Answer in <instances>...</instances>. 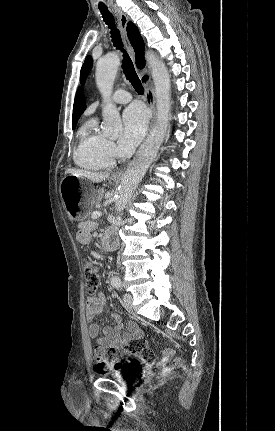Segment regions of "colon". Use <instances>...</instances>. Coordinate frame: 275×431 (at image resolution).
I'll return each mask as SVG.
<instances>
[{"label": "colon", "instance_id": "1", "mask_svg": "<svg viewBox=\"0 0 275 431\" xmlns=\"http://www.w3.org/2000/svg\"><path fill=\"white\" fill-rule=\"evenodd\" d=\"M83 270L86 280V289L90 294H94L99 286L100 269L99 266L91 261L83 263ZM130 354H134L142 361L149 363L153 368L165 365L172 362L173 366H181L182 359L180 357L174 358V351L170 348H165L161 351L158 359L154 361V354L148 347L145 341L133 340L130 341L124 348ZM119 353L120 349H110L105 352L102 349L96 350L97 370L99 372H108L114 367L119 366Z\"/></svg>", "mask_w": 275, "mask_h": 431}]
</instances>
